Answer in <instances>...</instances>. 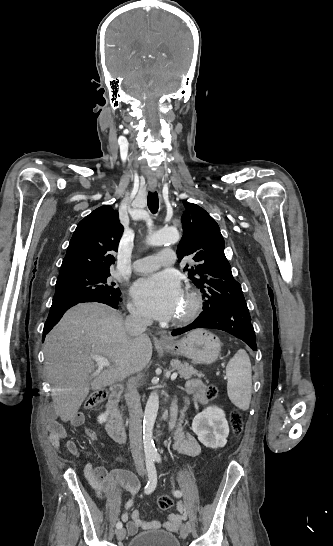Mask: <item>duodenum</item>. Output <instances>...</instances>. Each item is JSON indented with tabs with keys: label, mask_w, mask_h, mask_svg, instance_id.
Instances as JSON below:
<instances>
[{
	"label": "duodenum",
	"mask_w": 333,
	"mask_h": 546,
	"mask_svg": "<svg viewBox=\"0 0 333 546\" xmlns=\"http://www.w3.org/2000/svg\"><path fill=\"white\" fill-rule=\"evenodd\" d=\"M122 393V387L115 385L110 388L108 403L106 406L107 412V431L109 435L119 443H125L127 441V429L126 424L121 416L118 405L120 396Z\"/></svg>",
	"instance_id": "obj_1"
}]
</instances>
